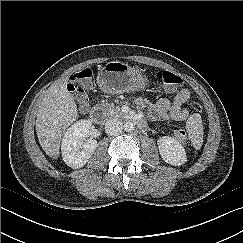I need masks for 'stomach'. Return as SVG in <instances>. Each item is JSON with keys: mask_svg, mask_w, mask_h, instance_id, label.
<instances>
[{"mask_svg": "<svg viewBox=\"0 0 243 243\" xmlns=\"http://www.w3.org/2000/svg\"><path fill=\"white\" fill-rule=\"evenodd\" d=\"M97 83L106 93L121 94L144 89L147 78L128 64L111 61L100 69Z\"/></svg>", "mask_w": 243, "mask_h": 243, "instance_id": "stomach-1", "label": "stomach"}]
</instances>
